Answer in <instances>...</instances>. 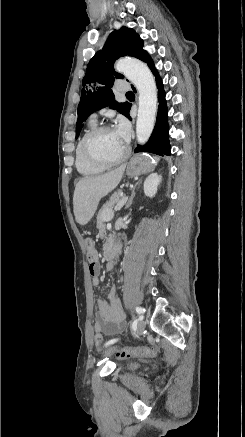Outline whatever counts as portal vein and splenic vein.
I'll return each mask as SVG.
<instances>
[{
	"label": "portal vein and splenic vein",
	"instance_id": "1",
	"mask_svg": "<svg viewBox=\"0 0 245 437\" xmlns=\"http://www.w3.org/2000/svg\"><path fill=\"white\" fill-rule=\"evenodd\" d=\"M127 199H128V196H125V195L123 196V194H122V199H121V201L116 205V207H115V211L120 210V209L123 207V205L126 203ZM113 216H114V212L111 213V214H108V216L106 217V221L110 220Z\"/></svg>",
	"mask_w": 245,
	"mask_h": 437
}]
</instances>
